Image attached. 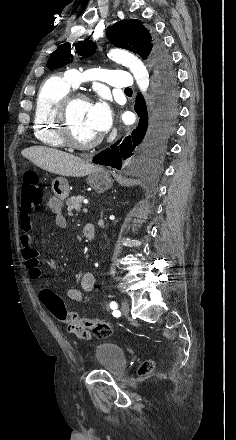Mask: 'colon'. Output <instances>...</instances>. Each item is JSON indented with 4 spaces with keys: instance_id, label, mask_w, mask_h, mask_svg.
Listing matches in <instances>:
<instances>
[{
    "instance_id": "1",
    "label": "colon",
    "mask_w": 236,
    "mask_h": 440,
    "mask_svg": "<svg viewBox=\"0 0 236 440\" xmlns=\"http://www.w3.org/2000/svg\"><path fill=\"white\" fill-rule=\"evenodd\" d=\"M43 203V191L40 186L39 177L34 171H26L22 178L21 190V211L23 216H29L33 211L38 210ZM48 311L59 321L67 324H85L88 337L93 334L99 338L108 337L111 332V326L99 319H88L80 317L78 314L69 312L64 301L52 290L44 289L40 293ZM76 334V333H75ZM87 338V337H86ZM153 369L151 361L142 363L139 369V375L145 376Z\"/></svg>"
}]
</instances>
